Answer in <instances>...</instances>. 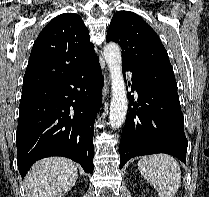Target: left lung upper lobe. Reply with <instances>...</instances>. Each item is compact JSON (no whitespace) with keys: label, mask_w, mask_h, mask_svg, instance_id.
<instances>
[{"label":"left lung upper lobe","mask_w":209,"mask_h":197,"mask_svg":"<svg viewBox=\"0 0 209 197\" xmlns=\"http://www.w3.org/2000/svg\"><path fill=\"white\" fill-rule=\"evenodd\" d=\"M106 41L120 44L123 65L147 78L175 80L166 49L155 31L138 15L117 12L110 23Z\"/></svg>","instance_id":"5c2ea615"}]
</instances>
